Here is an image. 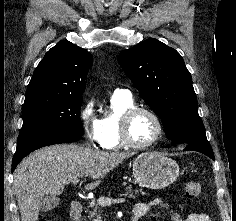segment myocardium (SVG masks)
Segmentation results:
<instances>
[{
  "instance_id": "myocardium-1",
  "label": "myocardium",
  "mask_w": 236,
  "mask_h": 221,
  "mask_svg": "<svg viewBox=\"0 0 236 221\" xmlns=\"http://www.w3.org/2000/svg\"><path fill=\"white\" fill-rule=\"evenodd\" d=\"M139 113H146V114L150 115L154 119L156 126H157V132H156L155 137L151 141H149L145 144H138V143L134 142L131 139L130 131H129L132 119ZM163 133H164V127H163V123H162L161 118L154 110H152L149 107L133 106V107L127 109L122 114V116L120 118L119 136H120V140H121L122 144L126 147H129L132 149H137V150L148 149L160 141V139L163 136Z\"/></svg>"
}]
</instances>
